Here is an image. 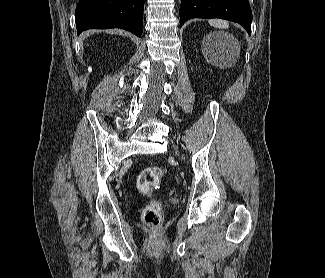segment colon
I'll return each mask as SVG.
<instances>
[{
	"label": "colon",
	"mask_w": 325,
	"mask_h": 278,
	"mask_svg": "<svg viewBox=\"0 0 325 278\" xmlns=\"http://www.w3.org/2000/svg\"><path fill=\"white\" fill-rule=\"evenodd\" d=\"M161 167L151 166L143 169L138 176V188L144 194H150L164 176ZM142 219L146 225L157 229L162 222V209L159 201L153 200L143 211Z\"/></svg>",
	"instance_id": "obj_1"
}]
</instances>
